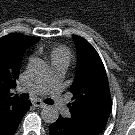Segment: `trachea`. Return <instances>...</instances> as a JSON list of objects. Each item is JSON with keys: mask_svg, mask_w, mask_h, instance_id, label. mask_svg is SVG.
<instances>
[{"mask_svg": "<svg viewBox=\"0 0 135 135\" xmlns=\"http://www.w3.org/2000/svg\"><path fill=\"white\" fill-rule=\"evenodd\" d=\"M20 98H21L22 100H27V99H29V95L23 93V94L20 95ZM44 102H45L46 104H51V105L54 103L51 99H46Z\"/></svg>", "mask_w": 135, "mask_h": 135, "instance_id": "trachea-1", "label": "trachea"}]
</instances>
